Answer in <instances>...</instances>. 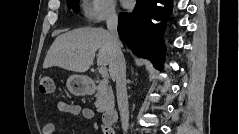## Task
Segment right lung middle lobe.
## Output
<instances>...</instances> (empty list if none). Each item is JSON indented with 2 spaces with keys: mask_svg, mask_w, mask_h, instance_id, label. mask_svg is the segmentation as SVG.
I'll use <instances>...</instances> for the list:
<instances>
[{
  "mask_svg": "<svg viewBox=\"0 0 239 134\" xmlns=\"http://www.w3.org/2000/svg\"><path fill=\"white\" fill-rule=\"evenodd\" d=\"M78 2L79 0H67L68 6L73 8L74 11L78 10Z\"/></svg>",
  "mask_w": 239,
  "mask_h": 134,
  "instance_id": "1",
  "label": "right lung middle lobe"
}]
</instances>
